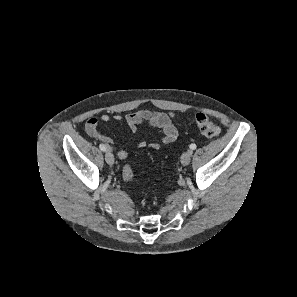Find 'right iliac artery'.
Wrapping results in <instances>:
<instances>
[{"label": "right iliac artery", "instance_id": "1", "mask_svg": "<svg viewBox=\"0 0 297 297\" xmlns=\"http://www.w3.org/2000/svg\"><path fill=\"white\" fill-rule=\"evenodd\" d=\"M99 148H100V150L103 151V152L106 151V146H105L104 144H100V145H99Z\"/></svg>", "mask_w": 297, "mask_h": 297}]
</instances>
